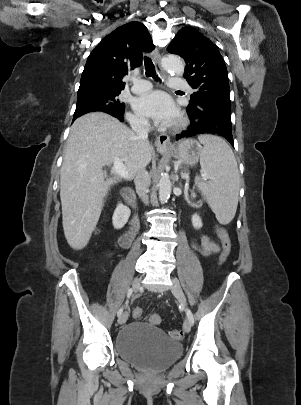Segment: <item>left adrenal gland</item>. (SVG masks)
<instances>
[{
  "label": "left adrenal gland",
  "mask_w": 301,
  "mask_h": 405,
  "mask_svg": "<svg viewBox=\"0 0 301 405\" xmlns=\"http://www.w3.org/2000/svg\"><path fill=\"white\" fill-rule=\"evenodd\" d=\"M174 180H175V181H178V175H177V174L175 175Z\"/></svg>",
  "instance_id": "obj_1"
}]
</instances>
